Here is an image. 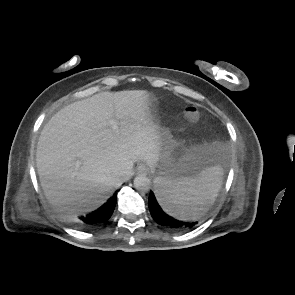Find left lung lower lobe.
I'll return each mask as SVG.
<instances>
[{"label":"left lung lower lobe","mask_w":295,"mask_h":295,"mask_svg":"<svg viewBox=\"0 0 295 295\" xmlns=\"http://www.w3.org/2000/svg\"><path fill=\"white\" fill-rule=\"evenodd\" d=\"M149 210L153 219L160 225L170 228L172 230H188L193 228L197 222H184L173 218L163 211L154 193L151 191L149 195Z\"/></svg>","instance_id":"0a47b994"}]
</instances>
